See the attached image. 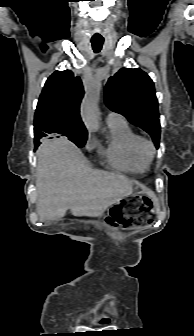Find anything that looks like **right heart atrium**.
I'll return each instance as SVG.
<instances>
[{"mask_svg": "<svg viewBox=\"0 0 194 336\" xmlns=\"http://www.w3.org/2000/svg\"><path fill=\"white\" fill-rule=\"evenodd\" d=\"M88 145L89 146L93 145V140H92V138L90 136L88 137Z\"/></svg>", "mask_w": 194, "mask_h": 336, "instance_id": "d8ad5b80", "label": "right heart atrium"}]
</instances>
